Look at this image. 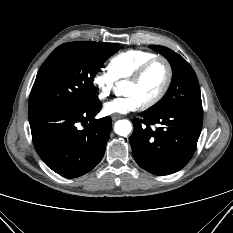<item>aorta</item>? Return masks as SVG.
Returning a JSON list of instances; mask_svg holds the SVG:
<instances>
[{
	"mask_svg": "<svg viewBox=\"0 0 233 233\" xmlns=\"http://www.w3.org/2000/svg\"><path fill=\"white\" fill-rule=\"evenodd\" d=\"M132 130V125L130 121L124 119V120H119L115 123L114 126V131L116 134L120 136L126 137Z\"/></svg>",
	"mask_w": 233,
	"mask_h": 233,
	"instance_id": "1",
	"label": "aorta"
}]
</instances>
